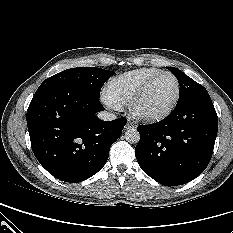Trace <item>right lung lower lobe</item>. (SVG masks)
<instances>
[{"mask_svg": "<svg viewBox=\"0 0 233 233\" xmlns=\"http://www.w3.org/2000/svg\"><path fill=\"white\" fill-rule=\"evenodd\" d=\"M102 110L99 97L70 86L33 97L27 110L31 147L50 174L77 183L105 165L127 121H102L95 115Z\"/></svg>", "mask_w": 233, "mask_h": 233, "instance_id": "obj_1", "label": "right lung lower lobe"}]
</instances>
